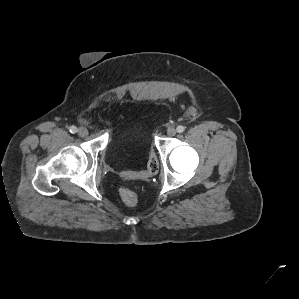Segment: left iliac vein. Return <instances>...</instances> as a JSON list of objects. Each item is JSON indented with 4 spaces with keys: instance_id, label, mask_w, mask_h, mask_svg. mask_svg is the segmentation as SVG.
Wrapping results in <instances>:
<instances>
[{
    "instance_id": "4c4485c4",
    "label": "left iliac vein",
    "mask_w": 299,
    "mask_h": 299,
    "mask_svg": "<svg viewBox=\"0 0 299 299\" xmlns=\"http://www.w3.org/2000/svg\"><path fill=\"white\" fill-rule=\"evenodd\" d=\"M167 134H168V136H170V137L175 136V135H176V129L173 128V127H169L168 130H167Z\"/></svg>"
}]
</instances>
